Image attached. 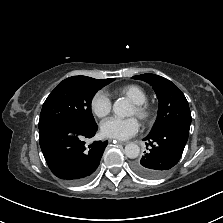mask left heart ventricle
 Wrapping results in <instances>:
<instances>
[{"label":"left heart ventricle","mask_w":223,"mask_h":223,"mask_svg":"<svg viewBox=\"0 0 223 223\" xmlns=\"http://www.w3.org/2000/svg\"><path fill=\"white\" fill-rule=\"evenodd\" d=\"M131 114H132V115L135 114V108H134V106H133L132 109H131Z\"/></svg>","instance_id":"b2bd125f"}]
</instances>
